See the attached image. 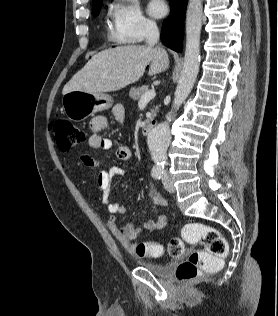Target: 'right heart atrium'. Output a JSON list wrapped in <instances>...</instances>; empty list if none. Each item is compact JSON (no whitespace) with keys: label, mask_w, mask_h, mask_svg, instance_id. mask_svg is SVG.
<instances>
[{"label":"right heart atrium","mask_w":278,"mask_h":316,"mask_svg":"<svg viewBox=\"0 0 278 316\" xmlns=\"http://www.w3.org/2000/svg\"><path fill=\"white\" fill-rule=\"evenodd\" d=\"M111 36L120 43H137L154 32L157 24L146 17L139 7L124 0H114L109 6Z\"/></svg>","instance_id":"1"}]
</instances>
